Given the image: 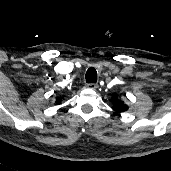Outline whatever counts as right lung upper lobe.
Returning a JSON list of instances; mask_svg holds the SVG:
<instances>
[{
	"label": "right lung upper lobe",
	"mask_w": 171,
	"mask_h": 171,
	"mask_svg": "<svg viewBox=\"0 0 171 171\" xmlns=\"http://www.w3.org/2000/svg\"><path fill=\"white\" fill-rule=\"evenodd\" d=\"M61 103V99L60 98H56V104H60Z\"/></svg>",
	"instance_id": "cb5924a9"
}]
</instances>
